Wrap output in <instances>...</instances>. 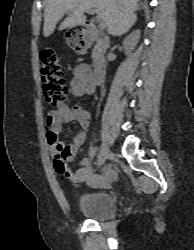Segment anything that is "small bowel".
<instances>
[{
  "label": "small bowel",
  "instance_id": "c3829d8e",
  "mask_svg": "<svg viewBox=\"0 0 194 250\" xmlns=\"http://www.w3.org/2000/svg\"><path fill=\"white\" fill-rule=\"evenodd\" d=\"M91 74L92 70L89 65L79 64L73 72L69 84V92L76 97L92 94L95 84L92 82ZM74 120L79 123L80 129L74 136L73 143H62L59 140L62 126ZM90 122V113L81 106L70 107L67 104H62L47 114L46 123L48 130L46 136L53 157L54 168L57 173L65 176L72 183H91L93 181L91 157L83 159L80 168L76 171H72L66 164L75 157L78 148L84 144ZM112 176L113 172L109 170L107 178Z\"/></svg>",
  "mask_w": 194,
  "mask_h": 250
}]
</instances>
